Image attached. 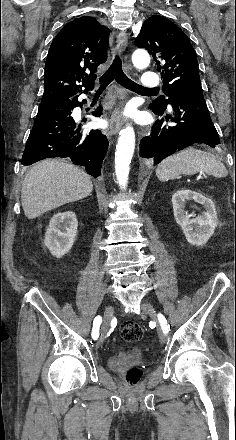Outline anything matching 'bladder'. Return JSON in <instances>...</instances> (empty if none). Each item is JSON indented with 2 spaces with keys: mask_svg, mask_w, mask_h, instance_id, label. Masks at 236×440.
I'll return each mask as SVG.
<instances>
[{
  "mask_svg": "<svg viewBox=\"0 0 236 440\" xmlns=\"http://www.w3.org/2000/svg\"><path fill=\"white\" fill-rule=\"evenodd\" d=\"M143 360L142 352L137 348H130L124 351H118L113 353L108 358V366L114 371H120L126 364L140 363Z\"/></svg>",
  "mask_w": 236,
  "mask_h": 440,
  "instance_id": "31cf9c89",
  "label": "bladder"
}]
</instances>
